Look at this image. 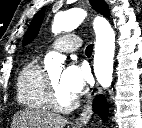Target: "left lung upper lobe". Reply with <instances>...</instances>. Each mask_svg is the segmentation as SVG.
I'll return each mask as SVG.
<instances>
[{
	"mask_svg": "<svg viewBox=\"0 0 142 128\" xmlns=\"http://www.w3.org/2000/svg\"><path fill=\"white\" fill-rule=\"evenodd\" d=\"M90 3L97 12L105 16L110 15L109 8L104 0H90ZM44 15H45V10L42 9L34 16L33 20L31 21L28 27L26 35L23 39L24 45L28 44L36 37L39 31L40 25L43 21Z\"/></svg>",
	"mask_w": 142,
	"mask_h": 128,
	"instance_id": "1",
	"label": "left lung upper lobe"
}]
</instances>
